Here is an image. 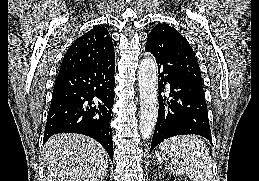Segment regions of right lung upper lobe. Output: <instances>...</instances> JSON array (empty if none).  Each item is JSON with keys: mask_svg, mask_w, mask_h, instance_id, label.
Returning <instances> with one entry per match:
<instances>
[{"mask_svg": "<svg viewBox=\"0 0 259 181\" xmlns=\"http://www.w3.org/2000/svg\"><path fill=\"white\" fill-rule=\"evenodd\" d=\"M115 56L112 38L103 26H97L76 39L67 50L59 73L100 63Z\"/></svg>", "mask_w": 259, "mask_h": 181, "instance_id": "right-lung-upper-lobe-1", "label": "right lung upper lobe"}]
</instances>
